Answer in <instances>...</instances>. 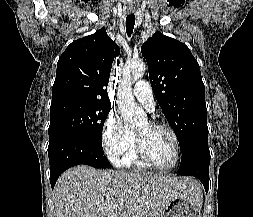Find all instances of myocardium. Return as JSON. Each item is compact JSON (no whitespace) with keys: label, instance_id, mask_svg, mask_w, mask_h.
I'll return each instance as SVG.
<instances>
[{"label":"myocardium","instance_id":"obj_1","mask_svg":"<svg viewBox=\"0 0 253 217\" xmlns=\"http://www.w3.org/2000/svg\"><path fill=\"white\" fill-rule=\"evenodd\" d=\"M149 124L154 128H161V129H165L166 131H168V133L170 134V136L173 140V143H174V150H175L174 159H173L172 163L169 166H166V167H162V166H159V165L155 164L150 159L148 154L146 153L141 137L138 134H136V150H137L138 157L146 166H148V167H150V168H152L156 171L169 172V171L173 170L179 162V158H180L179 138H178L175 130L167 123H164V122H150Z\"/></svg>","mask_w":253,"mask_h":217}]
</instances>
